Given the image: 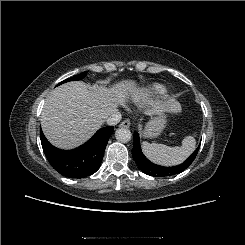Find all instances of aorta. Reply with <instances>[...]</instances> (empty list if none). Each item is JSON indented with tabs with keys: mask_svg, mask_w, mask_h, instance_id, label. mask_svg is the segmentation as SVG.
I'll list each match as a JSON object with an SVG mask.
<instances>
[{
	"mask_svg": "<svg viewBox=\"0 0 245 245\" xmlns=\"http://www.w3.org/2000/svg\"><path fill=\"white\" fill-rule=\"evenodd\" d=\"M115 138L119 142L127 143L131 140L132 134L128 128H119L115 132Z\"/></svg>",
	"mask_w": 245,
	"mask_h": 245,
	"instance_id": "obj_1",
	"label": "aorta"
}]
</instances>
